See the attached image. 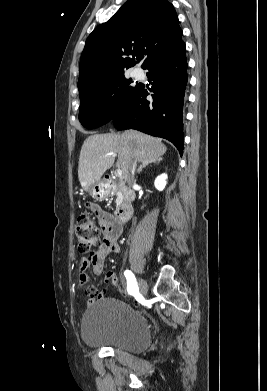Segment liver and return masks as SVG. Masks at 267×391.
Returning <instances> with one entry per match:
<instances>
[{
  "instance_id": "obj_1",
  "label": "liver",
  "mask_w": 267,
  "mask_h": 391,
  "mask_svg": "<svg viewBox=\"0 0 267 391\" xmlns=\"http://www.w3.org/2000/svg\"><path fill=\"white\" fill-rule=\"evenodd\" d=\"M167 148L160 139L135 130L122 134H95L84 141L78 165V178L84 190L101 180L103 174L114 164L122 170L123 178L129 179L133 160L153 162L165 154Z\"/></svg>"
}]
</instances>
